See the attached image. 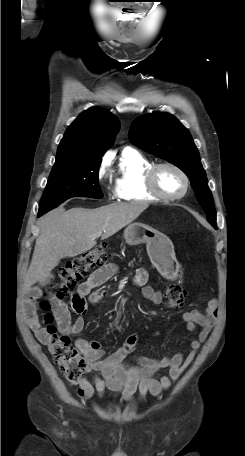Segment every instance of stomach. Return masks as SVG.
<instances>
[{
    "instance_id": "obj_1",
    "label": "stomach",
    "mask_w": 245,
    "mask_h": 456,
    "mask_svg": "<svg viewBox=\"0 0 245 456\" xmlns=\"http://www.w3.org/2000/svg\"><path fill=\"white\" fill-rule=\"evenodd\" d=\"M124 239L131 246L146 243L150 260L158 271L167 279L178 276L180 267L174 247L164 234L148 225L135 222L125 229Z\"/></svg>"
}]
</instances>
